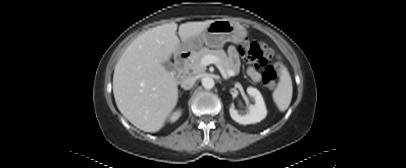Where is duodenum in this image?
<instances>
[{"mask_svg":"<svg viewBox=\"0 0 406 168\" xmlns=\"http://www.w3.org/2000/svg\"><path fill=\"white\" fill-rule=\"evenodd\" d=\"M190 58V52H181L175 57L174 65L178 77H184L187 74L186 65Z\"/></svg>","mask_w":406,"mask_h":168,"instance_id":"duodenum-1","label":"duodenum"}]
</instances>
